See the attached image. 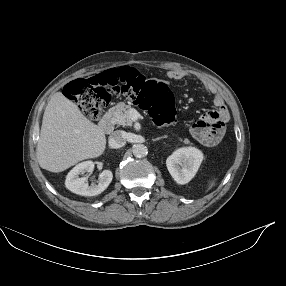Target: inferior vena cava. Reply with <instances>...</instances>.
Here are the masks:
<instances>
[{"label": "inferior vena cava", "instance_id": "inferior-vena-cava-1", "mask_svg": "<svg viewBox=\"0 0 286 286\" xmlns=\"http://www.w3.org/2000/svg\"><path fill=\"white\" fill-rule=\"evenodd\" d=\"M109 143L112 147L119 148L125 145L126 139L123 131H114L109 138Z\"/></svg>", "mask_w": 286, "mask_h": 286}]
</instances>
